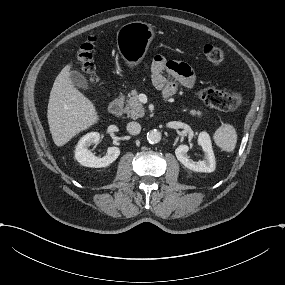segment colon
<instances>
[{
	"instance_id": "obj_1",
	"label": "colon",
	"mask_w": 285,
	"mask_h": 285,
	"mask_svg": "<svg viewBox=\"0 0 285 285\" xmlns=\"http://www.w3.org/2000/svg\"><path fill=\"white\" fill-rule=\"evenodd\" d=\"M93 43V39L84 43L76 55L80 70L91 83L97 80L92 55ZM203 54L206 60L215 66L222 64L226 58L225 52L214 45H206L203 49ZM198 97L207 106L224 112L236 111L241 108L244 103L243 96L240 93L219 89L214 86H207L201 89L198 93Z\"/></svg>"
}]
</instances>
